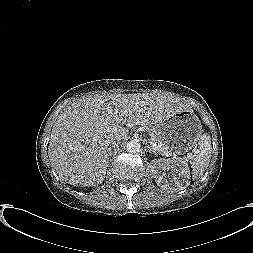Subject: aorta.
<instances>
[{
	"instance_id": "obj_1",
	"label": "aorta",
	"mask_w": 253,
	"mask_h": 253,
	"mask_svg": "<svg viewBox=\"0 0 253 253\" xmlns=\"http://www.w3.org/2000/svg\"><path fill=\"white\" fill-rule=\"evenodd\" d=\"M126 150L130 153L139 152L140 144L136 141H129L126 145Z\"/></svg>"
}]
</instances>
